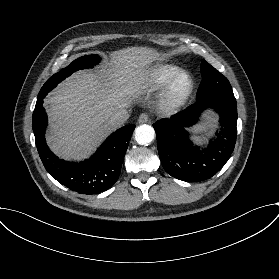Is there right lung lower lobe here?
Returning a JSON list of instances; mask_svg holds the SVG:
<instances>
[{
  "instance_id": "right-lung-lower-lobe-1",
  "label": "right lung lower lobe",
  "mask_w": 279,
  "mask_h": 279,
  "mask_svg": "<svg viewBox=\"0 0 279 279\" xmlns=\"http://www.w3.org/2000/svg\"><path fill=\"white\" fill-rule=\"evenodd\" d=\"M44 93H39L32 118L36 147L49 174L72 191L97 194L109 189L118 179L135 125H127L109 136L98 151L80 163L59 159L48 148L44 132L47 116L42 107Z\"/></svg>"
}]
</instances>
